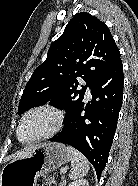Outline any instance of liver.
Wrapping results in <instances>:
<instances>
[{
  "label": "liver",
  "instance_id": "liver-1",
  "mask_svg": "<svg viewBox=\"0 0 138 186\" xmlns=\"http://www.w3.org/2000/svg\"><path fill=\"white\" fill-rule=\"evenodd\" d=\"M36 147L37 146H35V147H29V148H27V149H25L23 151H20L19 153H17L15 155V158L25 157V156L29 155Z\"/></svg>",
  "mask_w": 138,
  "mask_h": 186
}]
</instances>
